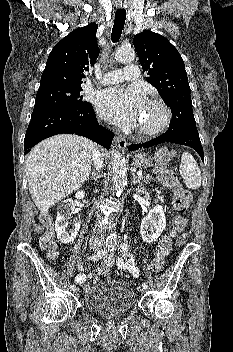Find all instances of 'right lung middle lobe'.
Listing matches in <instances>:
<instances>
[{
	"label": "right lung middle lobe",
	"mask_w": 233,
	"mask_h": 352,
	"mask_svg": "<svg viewBox=\"0 0 233 352\" xmlns=\"http://www.w3.org/2000/svg\"><path fill=\"white\" fill-rule=\"evenodd\" d=\"M81 85H46L39 87L34 111L58 108H77L90 105L80 94Z\"/></svg>",
	"instance_id": "dd1d6c3e"
}]
</instances>
